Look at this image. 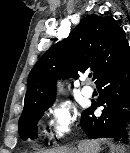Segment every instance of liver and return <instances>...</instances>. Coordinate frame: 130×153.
I'll list each match as a JSON object with an SVG mask.
<instances>
[{"label": "liver", "mask_w": 130, "mask_h": 153, "mask_svg": "<svg viewBox=\"0 0 130 153\" xmlns=\"http://www.w3.org/2000/svg\"><path fill=\"white\" fill-rule=\"evenodd\" d=\"M100 149L99 140H82L78 143L77 148L59 147L42 151V153H99Z\"/></svg>", "instance_id": "1"}]
</instances>
